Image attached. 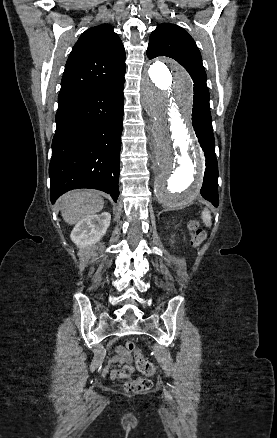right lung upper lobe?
<instances>
[{
  "instance_id": "obj_1",
  "label": "right lung upper lobe",
  "mask_w": 277,
  "mask_h": 438,
  "mask_svg": "<svg viewBox=\"0 0 277 438\" xmlns=\"http://www.w3.org/2000/svg\"><path fill=\"white\" fill-rule=\"evenodd\" d=\"M125 68L124 46L111 25L86 30L67 60L58 103L118 79Z\"/></svg>"
}]
</instances>
